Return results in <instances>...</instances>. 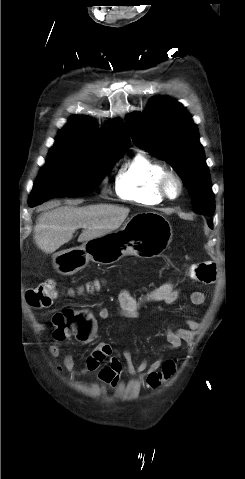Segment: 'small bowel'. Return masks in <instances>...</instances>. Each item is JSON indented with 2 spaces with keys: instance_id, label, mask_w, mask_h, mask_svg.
<instances>
[{
  "instance_id": "obj_1",
  "label": "small bowel",
  "mask_w": 245,
  "mask_h": 479,
  "mask_svg": "<svg viewBox=\"0 0 245 479\" xmlns=\"http://www.w3.org/2000/svg\"><path fill=\"white\" fill-rule=\"evenodd\" d=\"M180 297V291L173 281H167L162 285L151 290L142 298L134 297L129 290L123 289L117 296V308L119 316L123 318H139L141 309L148 302H163L165 304H175ZM189 301L193 305H202L205 302V295L201 291H194L189 296ZM85 315L86 323L81 329L82 333L93 335L97 330L96 322L92 313L87 310H81ZM99 318L106 320L110 318L111 313L105 307L97 309ZM187 327L173 330L166 329L167 350L178 349L183 341L191 338L192 333L196 331L200 323L195 319L186 320ZM54 343L49 347V354L55 360L62 350L63 340L54 339ZM126 370L130 376L138 375L141 379H147L151 373L158 372L165 363L162 356H159L151 364L147 360H142L138 365H134L131 355L128 351L124 352ZM58 370H65L72 376H81L88 372H95L98 380L111 388H117L121 382V373L123 370L122 362L113 355V348L108 343H100L86 357L85 365L81 369H76L75 360L71 354L63 358L62 365L57 364Z\"/></svg>"
}]
</instances>
